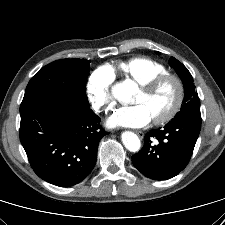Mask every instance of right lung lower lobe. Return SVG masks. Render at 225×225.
Returning <instances> with one entry per match:
<instances>
[{"instance_id": "1", "label": "right lung lower lobe", "mask_w": 225, "mask_h": 225, "mask_svg": "<svg viewBox=\"0 0 225 225\" xmlns=\"http://www.w3.org/2000/svg\"><path fill=\"white\" fill-rule=\"evenodd\" d=\"M20 140L34 172L43 180L70 187L95 166L107 134L91 110L60 99L32 98L20 106Z\"/></svg>"}]
</instances>
